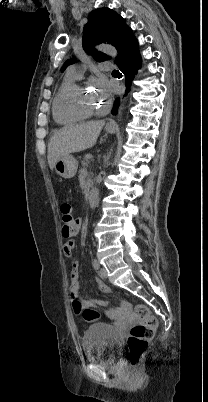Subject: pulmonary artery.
Listing matches in <instances>:
<instances>
[{
  "label": "pulmonary artery",
  "mask_w": 208,
  "mask_h": 402,
  "mask_svg": "<svg viewBox=\"0 0 208 402\" xmlns=\"http://www.w3.org/2000/svg\"><path fill=\"white\" fill-rule=\"evenodd\" d=\"M112 69L111 62L109 60H103L101 62V70L102 71H110ZM66 76L73 78V79H79L81 77V74L78 72V70L74 67H70L67 70Z\"/></svg>",
  "instance_id": "pulmonary-artery-1"
}]
</instances>
